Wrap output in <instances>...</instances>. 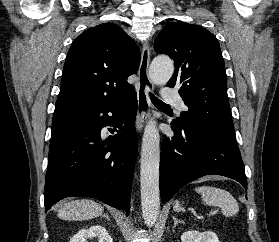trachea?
I'll return each mask as SVG.
<instances>
[{"label":"trachea","instance_id":"trachea-1","mask_svg":"<svg viewBox=\"0 0 279 242\" xmlns=\"http://www.w3.org/2000/svg\"><path fill=\"white\" fill-rule=\"evenodd\" d=\"M149 96L154 105H156L158 107H169L167 104H165L160 99H158L156 96H154L151 92H149Z\"/></svg>","mask_w":279,"mask_h":242}]
</instances>
